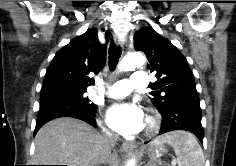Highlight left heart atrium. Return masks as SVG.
Masks as SVG:
<instances>
[{"label": "left heart atrium", "mask_w": 236, "mask_h": 166, "mask_svg": "<svg viewBox=\"0 0 236 166\" xmlns=\"http://www.w3.org/2000/svg\"><path fill=\"white\" fill-rule=\"evenodd\" d=\"M107 123L117 133L133 135L145 127V115L134 102H123L112 105L107 111Z\"/></svg>", "instance_id": "left-heart-atrium-1"}]
</instances>
